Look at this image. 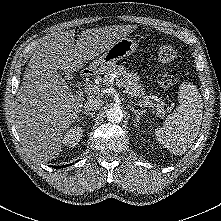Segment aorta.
<instances>
[{
  "instance_id": "1",
  "label": "aorta",
  "mask_w": 221,
  "mask_h": 221,
  "mask_svg": "<svg viewBox=\"0 0 221 221\" xmlns=\"http://www.w3.org/2000/svg\"><path fill=\"white\" fill-rule=\"evenodd\" d=\"M123 119V112L120 108H111L107 111V120L111 123H120Z\"/></svg>"
}]
</instances>
